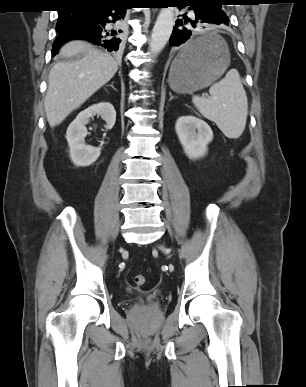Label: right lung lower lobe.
I'll list each match as a JSON object with an SVG mask.
<instances>
[{"label": "right lung lower lobe", "instance_id": "98d812e1", "mask_svg": "<svg viewBox=\"0 0 306 387\" xmlns=\"http://www.w3.org/2000/svg\"><path fill=\"white\" fill-rule=\"evenodd\" d=\"M83 9L84 18L81 22L58 31L59 35L53 44V56L63 43L71 39H85L107 48L108 51H118L121 47L122 30H119V22L126 14L125 4L116 1L100 7Z\"/></svg>", "mask_w": 306, "mask_h": 387}]
</instances>
